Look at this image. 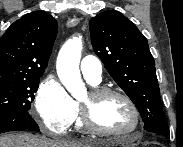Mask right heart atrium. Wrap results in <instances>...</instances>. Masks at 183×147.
<instances>
[{"label":"right heart atrium","instance_id":"d8ad5b80","mask_svg":"<svg viewBox=\"0 0 183 147\" xmlns=\"http://www.w3.org/2000/svg\"><path fill=\"white\" fill-rule=\"evenodd\" d=\"M35 108L42 127L56 134H64L75 121V101L53 75L46 76L35 95Z\"/></svg>","mask_w":183,"mask_h":147}]
</instances>
